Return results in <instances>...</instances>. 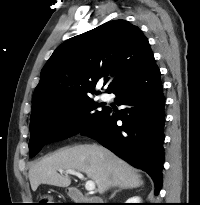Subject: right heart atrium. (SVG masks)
I'll list each match as a JSON object with an SVG mask.
<instances>
[{
    "label": "right heart atrium",
    "mask_w": 200,
    "mask_h": 205,
    "mask_svg": "<svg viewBox=\"0 0 200 205\" xmlns=\"http://www.w3.org/2000/svg\"><path fill=\"white\" fill-rule=\"evenodd\" d=\"M80 122V113L77 110H71L65 115L63 126L67 130H73L79 126Z\"/></svg>",
    "instance_id": "right-heart-atrium-1"
}]
</instances>
